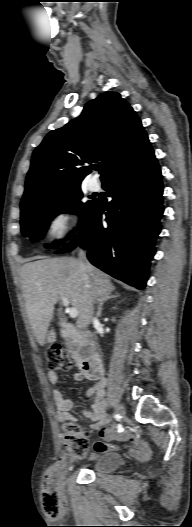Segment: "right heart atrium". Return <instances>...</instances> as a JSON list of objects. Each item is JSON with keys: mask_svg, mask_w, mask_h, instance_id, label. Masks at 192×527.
Here are the masks:
<instances>
[{"mask_svg": "<svg viewBox=\"0 0 192 527\" xmlns=\"http://www.w3.org/2000/svg\"><path fill=\"white\" fill-rule=\"evenodd\" d=\"M75 234L74 215L71 208L67 205L55 208L49 215L45 226L48 243L58 245Z\"/></svg>", "mask_w": 192, "mask_h": 527, "instance_id": "right-heart-atrium-1", "label": "right heart atrium"}]
</instances>
